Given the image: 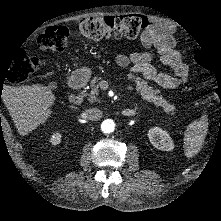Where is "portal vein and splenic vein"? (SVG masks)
<instances>
[{
    "instance_id": "portal-vein-and-splenic-vein-1",
    "label": "portal vein and splenic vein",
    "mask_w": 221,
    "mask_h": 221,
    "mask_svg": "<svg viewBox=\"0 0 221 221\" xmlns=\"http://www.w3.org/2000/svg\"><path fill=\"white\" fill-rule=\"evenodd\" d=\"M116 88H117V90H119V91H127V93L128 94H130V95H132L133 96V98H135L136 99V101L137 102H142V100H143V98H142V96H141V94H139L136 90H134L132 87H130V85H128V84H119V85H117V87H116V85H111V86H106V90L104 89V90H102V97H107V93L109 92V91H111V90H116ZM108 91V92H107Z\"/></svg>"
}]
</instances>
